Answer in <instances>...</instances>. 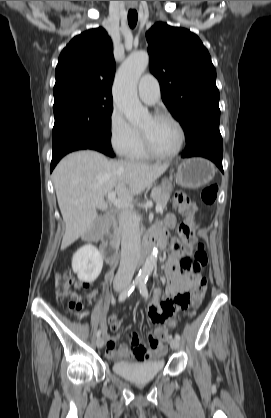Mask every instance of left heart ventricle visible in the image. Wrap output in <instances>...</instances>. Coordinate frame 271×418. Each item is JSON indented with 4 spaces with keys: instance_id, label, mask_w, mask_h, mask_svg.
I'll return each mask as SVG.
<instances>
[{
    "instance_id": "b2bd125f",
    "label": "left heart ventricle",
    "mask_w": 271,
    "mask_h": 418,
    "mask_svg": "<svg viewBox=\"0 0 271 418\" xmlns=\"http://www.w3.org/2000/svg\"><path fill=\"white\" fill-rule=\"evenodd\" d=\"M153 148L159 153H171L179 144V132L176 126L168 119H153L148 117L141 125Z\"/></svg>"
}]
</instances>
